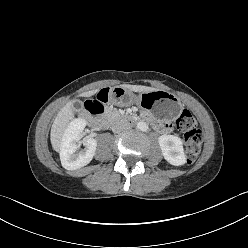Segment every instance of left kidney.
I'll use <instances>...</instances> for the list:
<instances>
[{
	"mask_svg": "<svg viewBox=\"0 0 248 248\" xmlns=\"http://www.w3.org/2000/svg\"><path fill=\"white\" fill-rule=\"evenodd\" d=\"M162 154L170 164L174 166L184 165L186 156L182 140L174 135H162L158 138Z\"/></svg>",
	"mask_w": 248,
	"mask_h": 248,
	"instance_id": "5707ae66",
	"label": "left kidney"
}]
</instances>
